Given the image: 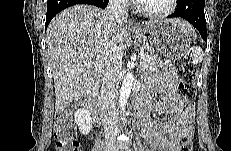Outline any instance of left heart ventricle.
<instances>
[{
	"mask_svg": "<svg viewBox=\"0 0 231 151\" xmlns=\"http://www.w3.org/2000/svg\"><path fill=\"white\" fill-rule=\"evenodd\" d=\"M167 3L168 0H148L143 5L151 10H161L167 6Z\"/></svg>",
	"mask_w": 231,
	"mask_h": 151,
	"instance_id": "left-heart-ventricle-1",
	"label": "left heart ventricle"
}]
</instances>
